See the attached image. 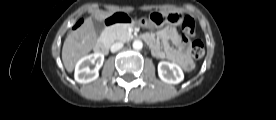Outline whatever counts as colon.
Wrapping results in <instances>:
<instances>
[{
    "mask_svg": "<svg viewBox=\"0 0 276 120\" xmlns=\"http://www.w3.org/2000/svg\"><path fill=\"white\" fill-rule=\"evenodd\" d=\"M117 14L132 16L131 14H126L122 11H113L112 13H107L104 16V19L112 18L113 16H116ZM104 19H101L99 21V26L101 28H104L102 26V21ZM88 20L89 19H87L86 16H83V15L79 16L78 20H75L74 22L72 21V22L68 23V26H67L68 30L73 32V31H76L77 29L78 30L82 29L83 26L87 25ZM116 26H120V25H116ZM124 27H127V26H124ZM181 28H182V31H183L184 35L187 36V37H193L196 33L195 22L190 17L183 18ZM190 53L193 56V58L201 59L205 54V48H204L203 42L201 40H194L191 44V47H190Z\"/></svg>",
    "mask_w": 276,
    "mask_h": 120,
    "instance_id": "colon-1",
    "label": "colon"
}]
</instances>
